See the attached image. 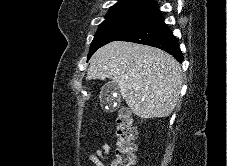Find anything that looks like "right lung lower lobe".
<instances>
[{"mask_svg": "<svg viewBox=\"0 0 227 166\" xmlns=\"http://www.w3.org/2000/svg\"><path fill=\"white\" fill-rule=\"evenodd\" d=\"M114 41H128L162 49L182 62L183 56L172 31L164 23L159 10Z\"/></svg>", "mask_w": 227, "mask_h": 166, "instance_id": "98d812e1", "label": "right lung lower lobe"}]
</instances>
